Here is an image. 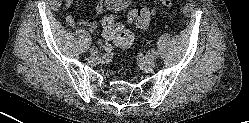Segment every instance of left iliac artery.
Wrapping results in <instances>:
<instances>
[{
  "instance_id": "1",
  "label": "left iliac artery",
  "mask_w": 249,
  "mask_h": 123,
  "mask_svg": "<svg viewBox=\"0 0 249 123\" xmlns=\"http://www.w3.org/2000/svg\"><path fill=\"white\" fill-rule=\"evenodd\" d=\"M152 53H153L155 58H158V56H159L158 52H156L155 50H152Z\"/></svg>"
}]
</instances>
